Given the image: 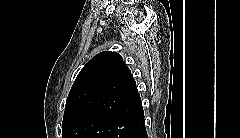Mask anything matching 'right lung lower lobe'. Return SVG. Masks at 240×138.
Here are the masks:
<instances>
[{
	"mask_svg": "<svg viewBox=\"0 0 240 138\" xmlns=\"http://www.w3.org/2000/svg\"><path fill=\"white\" fill-rule=\"evenodd\" d=\"M86 138H148L140 96L107 114Z\"/></svg>",
	"mask_w": 240,
	"mask_h": 138,
	"instance_id": "obj_1",
	"label": "right lung lower lobe"
}]
</instances>
